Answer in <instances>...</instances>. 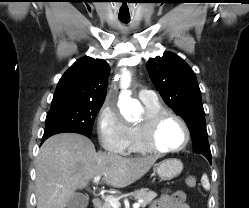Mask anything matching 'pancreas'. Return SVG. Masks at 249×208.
<instances>
[{"label": "pancreas", "mask_w": 249, "mask_h": 208, "mask_svg": "<svg viewBox=\"0 0 249 208\" xmlns=\"http://www.w3.org/2000/svg\"><path fill=\"white\" fill-rule=\"evenodd\" d=\"M132 195L135 199L142 200V202L140 203V206L142 208H145L157 196V194L154 191H150L147 188L137 190ZM100 208H113V207L110 205L109 202L105 201Z\"/></svg>", "instance_id": "obj_1"}]
</instances>
